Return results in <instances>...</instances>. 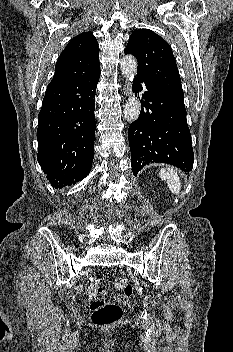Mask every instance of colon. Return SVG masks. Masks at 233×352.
<instances>
[{
    "instance_id": "colon-1",
    "label": "colon",
    "mask_w": 233,
    "mask_h": 352,
    "mask_svg": "<svg viewBox=\"0 0 233 352\" xmlns=\"http://www.w3.org/2000/svg\"><path fill=\"white\" fill-rule=\"evenodd\" d=\"M100 280V277H91L85 284L86 294L91 301L90 317L96 325L111 326L121 319L123 310L119 305L104 300L106 291L99 285ZM113 286L125 296L132 294V286L125 278H116Z\"/></svg>"
}]
</instances>
